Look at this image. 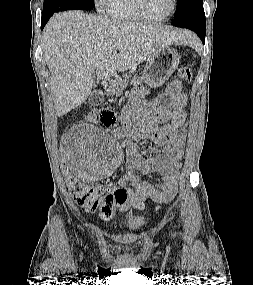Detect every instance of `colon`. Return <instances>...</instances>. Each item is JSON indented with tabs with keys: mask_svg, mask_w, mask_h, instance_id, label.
I'll return each mask as SVG.
<instances>
[{
	"mask_svg": "<svg viewBox=\"0 0 253 285\" xmlns=\"http://www.w3.org/2000/svg\"><path fill=\"white\" fill-rule=\"evenodd\" d=\"M179 77L191 81L192 70L188 66H181L178 70ZM71 132H67L64 140H60L62 149L58 150L60 160V172L69 180V187L75 202L86 211H100L104 219H109L116 205L123 204L128 198V192L123 187L105 186L97 184H85L81 175H73L72 154L74 144L71 143Z\"/></svg>",
	"mask_w": 253,
	"mask_h": 285,
	"instance_id": "colon-1",
	"label": "colon"
}]
</instances>
